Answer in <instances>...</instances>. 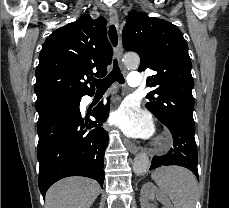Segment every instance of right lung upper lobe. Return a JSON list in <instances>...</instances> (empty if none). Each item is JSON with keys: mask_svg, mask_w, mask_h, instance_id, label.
Returning <instances> with one entry per match:
<instances>
[{"mask_svg": "<svg viewBox=\"0 0 229 208\" xmlns=\"http://www.w3.org/2000/svg\"><path fill=\"white\" fill-rule=\"evenodd\" d=\"M106 24L104 17L93 20L85 16L55 30L46 39L35 72L36 103L94 93L95 88L87 78L105 76L112 59Z\"/></svg>", "mask_w": 229, "mask_h": 208, "instance_id": "1", "label": "right lung upper lobe"}]
</instances>
